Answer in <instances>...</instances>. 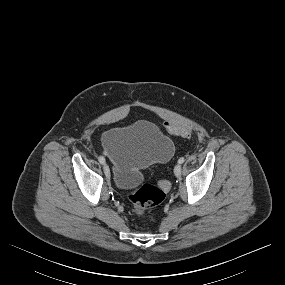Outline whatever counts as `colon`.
<instances>
[{"label": "colon", "mask_w": 285, "mask_h": 285, "mask_svg": "<svg viewBox=\"0 0 285 285\" xmlns=\"http://www.w3.org/2000/svg\"><path fill=\"white\" fill-rule=\"evenodd\" d=\"M164 126L167 132L171 135L181 136L184 138H190L192 136V130L187 127L170 122H166ZM169 188L170 184L166 181L161 182L159 185L145 184L131 192L129 194V200L137 213L145 215L148 209L162 203L165 198L166 191Z\"/></svg>", "instance_id": "obj_1"}]
</instances>
